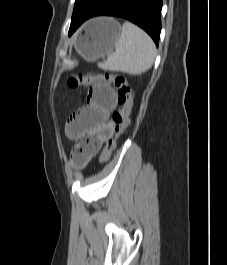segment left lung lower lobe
Masks as SVG:
<instances>
[{
  "mask_svg": "<svg viewBox=\"0 0 227 265\" xmlns=\"http://www.w3.org/2000/svg\"><path fill=\"white\" fill-rule=\"evenodd\" d=\"M162 0H105L88 18L70 27L69 36L87 19L100 15L125 18L144 29L158 46Z\"/></svg>",
  "mask_w": 227,
  "mask_h": 265,
  "instance_id": "left-lung-lower-lobe-1",
  "label": "left lung lower lobe"
}]
</instances>
